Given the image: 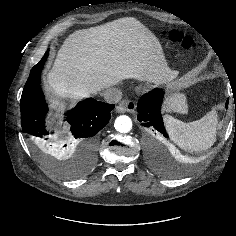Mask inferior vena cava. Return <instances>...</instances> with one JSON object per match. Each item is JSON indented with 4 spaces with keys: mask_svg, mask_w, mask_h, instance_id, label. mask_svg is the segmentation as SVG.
I'll return each instance as SVG.
<instances>
[{
    "mask_svg": "<svg viewBox=\"0 0 236 236\" xmlns=\"http://www.w3.org/2000/svg\"><path fill=\"white\" fill-rule=\"evenodd\" d=\"M103 96L108 103H118L122 98V91L118 88L111 87L103 93Z\"/></svg>",
    "mask_w": 236,
    "mask_h": 236,
    "instance_id": "inferior-vena-cava-1",
    "label": "inferior vena cava"
}]
</instances>
